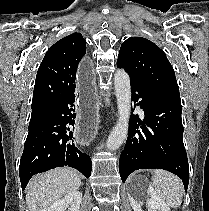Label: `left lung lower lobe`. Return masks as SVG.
Here are the masks:
<instances>
[{
  "mask_svg": "<svg viewBox=\"0 0 209 211\" xmlns=\"http://www.w3.org/2000/svg\"><path fill=\"white\" fill-rule=\"evenodd\" d=\"M118 68L123 66L117 63ZM132 100L143 109L130 119L128 138L119 161L122 182L138 169H164L178 175L187 191L189 166L183 144L180 97L150 89L130 77ZM135 107V105H134Z\"/></svg>",
  "mask_w": 209,
  "mask_h": 211,
  "instance_id": "0a47b994",
  "label": "left lung lower lobe"
}]
</instances>
